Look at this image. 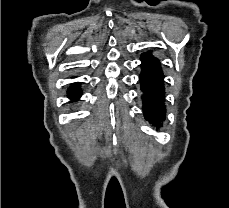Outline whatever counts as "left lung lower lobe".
Masks as SVG:
<instances>
[{"instance_id": "1", "label": "left lung lower lobe", "mask_w": 229, "mask_h": 208, "mask_svg": "<svg viewBox=\"0 0 229 208\" xmlns=\"http://www.w3.org/2000/svg\"><path fill=\"white\" fill-rule=\"evenodd\" d=\"M143 66L139 75L142 90L144 117L156 129L165 118V86L163 77L156 74L152 65L142 60Z\"/></svg>"}]
</instances>
